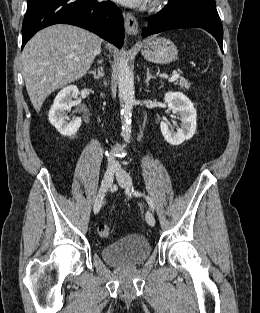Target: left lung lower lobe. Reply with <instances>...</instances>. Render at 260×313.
Segmentation results:
<instances>
[{"label":"left lung lower lobe","instance_id":"left-lung-lower-lobe-1","mask_svg":"<svg viewBox=\"0 0 260 313\" xmlns=\"http://www.w3.org/2000/svg\"><path fill=\"white\" fill-rule=\"evenodd\" d=\"M193 27L203 28L209 32L223 51V28L216 7L202 4H183L170 0L160 12L149 17L142 36L170 29Z\"/></svg>","mask_w":260,"mask_h":313}]
</instances>
